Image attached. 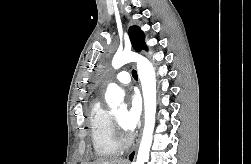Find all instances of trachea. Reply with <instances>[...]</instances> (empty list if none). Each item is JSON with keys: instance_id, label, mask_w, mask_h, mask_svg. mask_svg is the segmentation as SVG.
<instances>
[{"instance_id": "3493384b", "label": "trachea", "mask_w": 251, "mask_h": 164, "mask_svg": "<svg viewBox=\"0 0 251 164\" xmlns=\"http://www.w3.org/2000/svg\"><path fill=\"white\" fill-rule=\"evenodd\" d=\"M132 76H133V78H134L135 80L138 79L136 70H132Z\"/></svg>"}]
</instances>
